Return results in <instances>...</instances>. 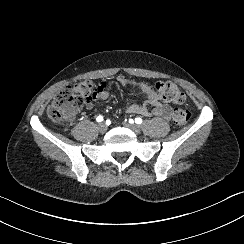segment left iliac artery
I'll list each match as a JSON object with an SVG mask.
<instances>
[{
	"instance_id": "1",
	"label": "left iliac artery",
	"mask_w": 244,
	"mask_h": 244,
	"mask_svg": "<svg viewBox=\"0 0 244 244\" xmlns=\"http://www.w3.org/2000/svg\"><path fill=\"white\" fill-rule=\"evenodd\" d=\"M130 123H132V122H130ZM135 123L141 124L142 123V119L139 118V117L135 118Z\"/></svg>"
}]
</instances>
